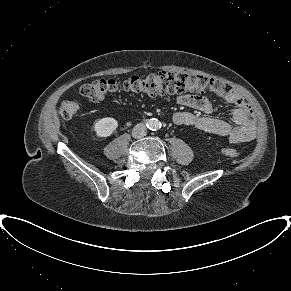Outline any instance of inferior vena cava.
<instances>
[{
	"label": "inferior vena cava",
	"mask_w": 291,
	"mask_h": 291,
	"mask_svg": "<svg viewBox=\"0 0 291 291\" xmlns=\"http://www.w3.org/2000/svg\"><path fill=\"white\" fill-rule=\"evenodd\" d=\"M146 134H147V128H146V125L143 123L137 124L132 131V135L135 138H142Z\"/></svg>",
	"instance_id": "1"
}]
</instances>
